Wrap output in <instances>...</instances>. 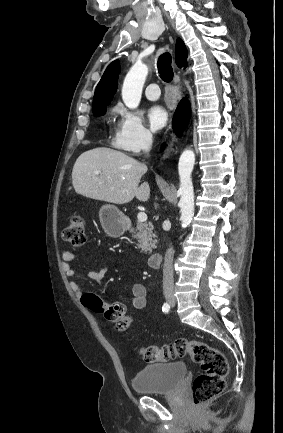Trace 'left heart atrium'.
Returning a JSON list of instances; mask_svg holds the SVG:
<instances>
[{"instance_id":"left-heart-atrium-1","label":"left heart atrium","mask_w":283,"mask_h":433,"mask_svg":"<svg viewBox=\"0 0 283 433\" xmlns=\"http://www.w3.org/2000/svg\"><path fill=\"white\" fill-rule=\"evenodd\" d=\"M167 122V112L160 106L152 107L148 112V123L152 131H160Z\"/></svg>"}]
</instances>
